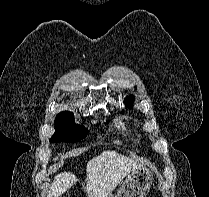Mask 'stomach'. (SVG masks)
<instances>
[{
    "label": "stomach",
    "mask_w": 209,
    "mask_h": 197,
    "mask_svg": "<svg viewBox=\"0 0 209 197\" xmlns=\"http://www.w3.org/2000/svg\"><path fill=\"white\" fill-rule=\"evenodd\" d=\"M152 181V172L142 166L127 176L117 194H110L108 197H146Z\"/></svg>",
    "instance_id": "obj_1"
}]
</instances>
